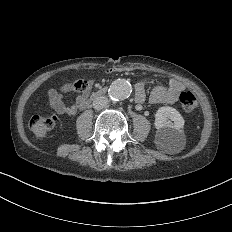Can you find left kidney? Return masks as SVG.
Returning a JSON list of instances; mask_svg holds the SVG:
<instances>
[{
  "label": "left kidney",
  "mask_w": 232,
  "mask_h": 232,
  "mask_svg": "<svg viewBox=\"0 0 232 232\" xmlns=\"http://www.w3.org/2000/svg\"><path fill=\"white\" fill-rule=\"evenodd\" d=\"M184 119L172 107H161L155 114L156 141L175 142L183 137Z\"/></svg>",
  "instance_id": "left-kidney-1"
}]
</instances>
